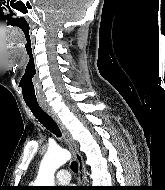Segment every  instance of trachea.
<instances>
[{
  "label": "trachea",
  "instance_id": "1",
  "mask_svg": "<svg viewBox=\"0 0 165 190\" xmlns=\"http://www.w3.org/2000/svg\"><path fill=\"white\" fill-rule=\"evenodd\" d=\"M26 105L46 129L57 137H61V132L56 122L40 107L38 103H26ZM71 169L75 173L78 172V163L76 161L71 163Z\"/></svg>",
  "mask_w": 165,
  "mask_h": 190
}]
</instances>
